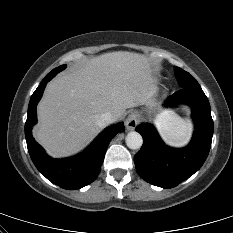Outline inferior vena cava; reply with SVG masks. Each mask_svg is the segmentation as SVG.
I'll return each mask as SVG.
<instances>
[{
	"label": "inferior vena cava",
	"instance_id": "obj_1",
	"mask_svg": "<svg viewBox=\"0 0 233 233\" xmlns=\"http://www.w3.org/2000/svg\"><path fill=\"white\" fill-rule=\"evenodd\" d=\"M111 122H113V115L110 112L103 113L97 120L96 124L100 128H104L107 125H109Z\"/></svg>",
	"mask_w": 233,
	"mask_h": 233
}]
</instances>
